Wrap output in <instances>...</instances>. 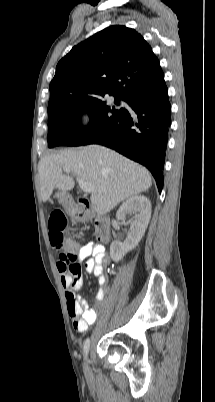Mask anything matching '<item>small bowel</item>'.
Segmentation results:
<instances>
[{"instance_id": "obj_1", "label": "small bowel", "mask_w": 215, "mask_h": 402, "mask_svg": "<svg viewBox=\"0 0 215 402\" xmlns=\"http://www.w3.org/2000/svg\"><path fill=\"white\" fill-rule=\"evenodd\" d=\"M75 251L76 261L79 265L78 270L69 271L60 259L57 262V268L65 294L68 314L72 319L74 329L79 333H84L90 325L95 323L97 311L90 307L86 299L77 294L83 283L79 262L85 260V271L97 278L99 288L95 297V305L98 308L109 291L108 279L104 271V268L109 264V259L105 247L93 241L85 243L80 250Z\"/></svg>"}]
</instances>
